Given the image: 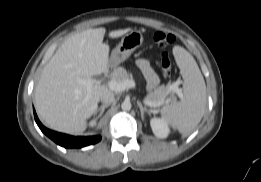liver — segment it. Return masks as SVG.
I'll return each mask as SVG.
<instances>
[{"instance_id": "6515ba94", "label": "liver", "mask_w": 261, "mask_h": 182, "mask_svg": "<svg viewBox=\"0 0 261 182\" xmlns=\"http://www.w3.org/2000/svg\"><path fill=\"white\" fill-rule=\"evenodd\" d=\"M130 29L109 32L118 38ZM105 28L87 29L68 38L44 67L35 89V105L41 120L49 128L81 134L86 121L96 111L101 97L112 93L93 82L88 89L79 80L109 69V47L103 43Z\"/></svg>"}]
</instances>
